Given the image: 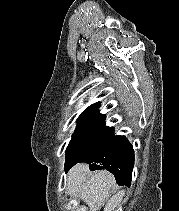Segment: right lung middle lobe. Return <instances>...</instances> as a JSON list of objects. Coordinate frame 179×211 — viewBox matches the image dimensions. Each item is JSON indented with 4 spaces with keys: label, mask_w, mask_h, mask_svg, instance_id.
<instances>
[{
    "label": "right lung middle lobe",
    "mask_w": 179,
    "mask_h": 211,
    "mask_svg": "<svg viewBox=\"0 0 179 211\" xmlns=\"http://www.w3.org/2000/svg\"><path fill=\"white\" fill-rule=\"evenodd\" d=\"M105 115L98 112L82 113L77 128L66 149L65 165L74 164L100 148L114 134V129L105 125Z\"/></svg>",
    "instance_id": "1"
}]
</instances>
